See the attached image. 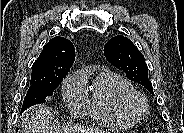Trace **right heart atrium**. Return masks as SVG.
<instances>
[{"label": "right heart atrium", "mask_w": 184, "mask_h": 133, "mask_svg": "<svg viewBox=\"0 0 184 133\" xmlns=\"http://www.w3.org/2000/svg\"><path fill=\"white\" fill-rule=\"evenodd\" d=\"M62 94L70 112L74 116H82L87 107V89L81 73L68 76L62 85Z\"/></svg>", "instance_id": "d8ad5b80"}]
</instances>
